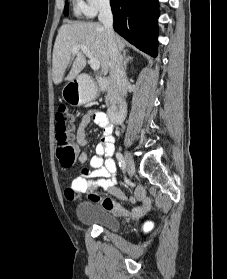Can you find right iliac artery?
I'll return each mask as SVG.
<instances>
[{
    "label": "right iliac artery",
    "instance_id": "1",
    "mask_svg": "<svg viewBox=\"0 0 227 279\" xmlns=\"http://www.w3.org/2000/svg\"><path fill=\"white\" fill-rule=\"evenodd\" d=\"M116 158L119 161V166L122 168V170H125L126 164H125V160H124L123 155L120 152H117L116 153Z\"/></svg>",
    "mask_w": 227,
    "mask_h": 279
}]
</instances>
